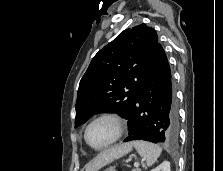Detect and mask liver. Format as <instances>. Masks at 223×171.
Instances as JSON below:
<instances>
[{"label":"liver","mask_w":223,"mask_h":171,"mask_svg":"<svg viewBox=\"0 0 223 171\" xmlns=\"http://www.w3.org/2000/svg\"><path fill=\"white\" fill-rule=\"evenodd\" d=\"M132 146V143H124L111 147L108 150H104L85 166V170L98 171L104 165L128 154L132 150Z\"/></svg>","instance_id":"liver-1"}]
</instances>
